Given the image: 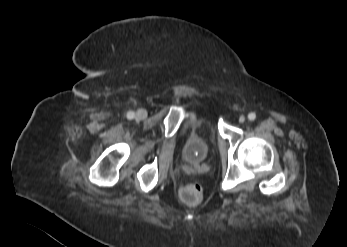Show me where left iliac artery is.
Here are the masks:
<instances>
[{
	"instance_id": "1",
	"label": "left iliac artery",
	"mask_w": 347,
	"mask_h": 247,
	"mask_svg": "<svg viewBox=\"0 0 347 247\" xmlns=\"http://www.w3.org/2000/svg\"><path fill=\"white\" fill-rule=\"evenodd\" d=\"M255 118H256L255 113L251 112V113L248 114V119H249L250 121H254Z\"/></svg>"
}]
</instances>
